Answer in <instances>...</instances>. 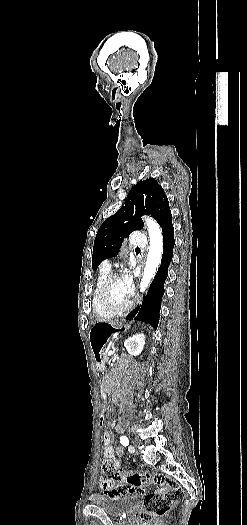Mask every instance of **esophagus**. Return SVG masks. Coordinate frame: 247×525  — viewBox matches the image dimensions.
<instances>
[{
  "instance_id": "obj_1",
  "label": "esophagus",
  "mask_w": 247,
  "mask_h": 525,
  "mask_svg": "<svg viewBox=\"0 0 247 525\" xmlns=\"http://www.w3.org/2000/svg\"><path fill=\"white\" fill-rule=\"evenodd\" d=\"M145 273H146V270L144 268H141L139 270V273L136 279V282H139V285H142L141 278L145 276ZM135 300H136V303L129 314L131 318H134V316H136L139 313V310L141 308L142 297L139 295V292H137Z\"/></svg>"
}]
</instances>
